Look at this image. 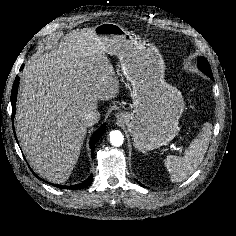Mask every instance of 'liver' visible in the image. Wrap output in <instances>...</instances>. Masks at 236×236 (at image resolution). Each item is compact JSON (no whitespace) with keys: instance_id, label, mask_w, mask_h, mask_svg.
Returning <instances> with one entry per match:
<instances>
[{"instance_id":"6515ba94","label":"liver","mask_w":236,"mask_h":236,"mask_svg":"<svg viewBox=\"0 0 236 236\" xmlns=\"http://www.w3.org/2000/svg\"><path fill=\"white\" fill-rule=\"evenodd\" d=\"M119 81L94 28L73 30L23 69L16 108L20 146L33 169L53 183L72 173L87 127L83 113L115 98Z\"/></svg>"}]
</instances>
